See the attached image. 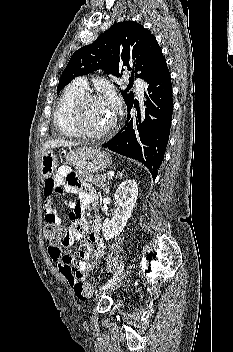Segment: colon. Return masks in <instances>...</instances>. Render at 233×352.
Returning a JSON list of instances; mask_svg holds the SVG:
<instances>
[{
  "instance_id": "5ec220e1",
  "label": "colon",
  "mask_w": 233,
  "mask_h": 352,
  "mask_svg": "<svg viewBox=\"0 0 233 352\" xmlns=\"http://www.w3.org/2000/svg\"><path fill=\"white\" fill-rule=\"evenodd\" d=\"M43 234L47 242L51 245L64 246L66 243L64 231L56 225L45 223ZM73 291L79 300L85 301L92 294V285L88 281L80 280L73 285Z\"/></svg>"
}]
</instances>
